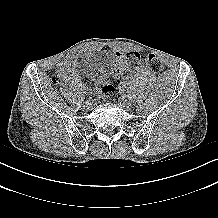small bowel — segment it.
<instances>
[{
	"label": "small bowel",
	"mask_w": 218,
	"mask_h": 218,
	"mask_svg": "<svg viewBox=\"0 0 218 218\" xmlns=\"http://www.w3.org/2000/svg\"><path fill=\"white\" fill-rule=\"evenodd\" d=\"M112 58V62L116 66H120L124 63L128 53L121 51H112L107 52ZM57 73L61 76L74 75L79 76L81 74L79 55L70 54L65 56L61 61L56 65Z\"/></svg>",
	"instance_id": "1"
}]
</instances>
